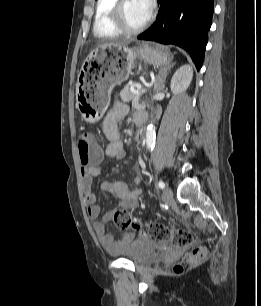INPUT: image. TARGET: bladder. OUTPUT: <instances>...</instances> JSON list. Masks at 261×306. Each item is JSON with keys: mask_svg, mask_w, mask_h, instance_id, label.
<instances>
[{"mask_svg": "<svg viewBox=\"0 0 261 306\" xmlns=\"http://www.w3.org/2000/svg\"><path fill=\"white\" fill-rule=\"evenodd\" d=\"M122 256L138 266L154 263L158 258L156 244L147 239L137 241L129 251L125 252Z\"/></svg>", "mask_w": 261, "mask_h": 306, "instance_id": "obj_1", "label": "bladder"}]
</instances>
